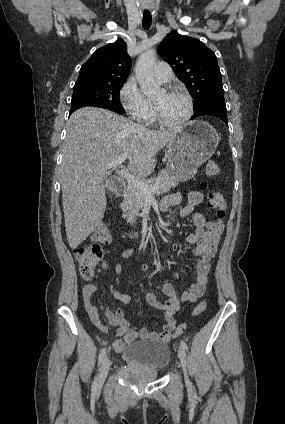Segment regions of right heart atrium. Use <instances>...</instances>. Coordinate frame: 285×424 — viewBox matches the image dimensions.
I'll use <instances>...</instances> for the list:
<instances>
[{"label": "right heart atrium", "instance_id": "right-heart-atrium-1", "mask_svg": "<svg viewBox=\"0 0 285 424\" xmlns=\"http://www.w3.org/2000/svg\"><path fill=\"white\" fill-rule=\"evenodd\" d=\"M119 99L126 113L137 121H149L153 107L143 95L134 78H129L121 87Z\"/></svg>", "mask_w": 285, "mask_h": 424}]
</instances>
